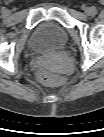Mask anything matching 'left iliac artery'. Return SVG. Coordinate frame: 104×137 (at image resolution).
<instances>
[{
  "mask_svg": "<svg viewBox=\"0 0 104 137\" xmlns=\"http://www.w3.org/2000/svg\"><path fill=\"white\" fill-rule=\"evenodd\" d=\"M91 12H92V13H95V8H92V9H91Z\"/></svg>",
  "mask_w": 104,
  "mask_h": 137,
  "instance_id": "left-iliac-artery-1",
  "label": "left iliac artery"
}]
</instances>
